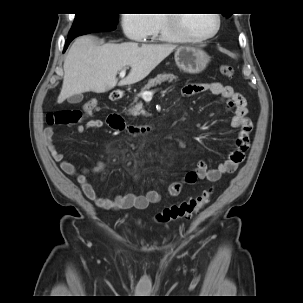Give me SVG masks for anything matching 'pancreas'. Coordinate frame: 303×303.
<instances>
[{"mask_svg":"<svg viewBox=\"0 0 303 303\" xmlns=\"http://www.w3.org/2000/svg\"><path fill=\"white\" fill-rule=\"evenodd\" d=\"M177 79L178 77L173 73L158 74L155 78L149 79L148 83L142 88L141 93L151 89L152 87L160 85L162 82H173L177 81ZM141 93L133 98V102L130 104L129 109L127 110L129 115L138 116L145 112L143 109V104L138 101L139 97H141Z\"/></svg>","mask_w":303,"mask_h":303,"instance_id":"obj_1","label":"pancreas"}]
</instances>
